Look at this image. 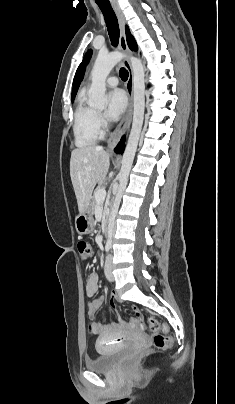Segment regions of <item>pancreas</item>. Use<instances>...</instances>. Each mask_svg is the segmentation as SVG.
Wrapping results in <instances>:
<instances>
[{"label": "pancreas", "mask_w": 235, "mask_h": 404, "mask_svg": "<svg viewBox=\"0 0 235 404\" xmlns=\"http://www.w3.org/2000/svg\"><path fill=\"white\" fill-rule=\"evenodd\" d=\"M100 189H103V186H99V187L95 190V192L98 191V190H100ZM98 206L103 207V202H98V201L96 200V198H95V193H94L93 199H92V203H91V210H92V213H95V210H96V208H97Z\"/></svg>", "instance_id": "obj_1"}]
</instances>
